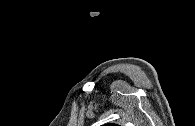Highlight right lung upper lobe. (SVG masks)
<instances>
[{"instance_id": "cb5924a9", "label": "right lung upper lobe", "mask_w": 195, "mask_h": 126, "mask_svg": "<svg viewBox=\"0 0 195 126\" xmlns=\"http://www.w3.org/2000/svg\"><path fill=\"white\" fill-rule=\"evenodd\" d=\"M104 126H117V125H113V124H107V125H104Z\"/></svg>"}]
</instances>
